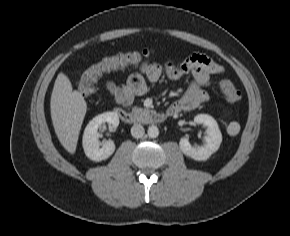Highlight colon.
Instances as JSON below:
<instances>
[{
  "label": "colon",
  "instance_id": "1",
  "mask_svg": "<svg viewBox=\"0 0 290 236\" xmlns=\"http://www.w3.org/2000/svg\"><path fill=\"white\" fill-rule=\"evenodd\" d=\"M150 55L151 51L143 50L117 53L103 58L82 73L78 83L80 93L84 96L92 95L95 91L94 84L103 73L137 64ZM221 87L229 102L234 103L241 99L240 91L229 80L222 81Z\"/></svg>",
  "mask_w": 290,
  "mask_h": 236
}]
</instances>
